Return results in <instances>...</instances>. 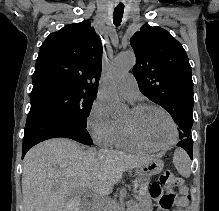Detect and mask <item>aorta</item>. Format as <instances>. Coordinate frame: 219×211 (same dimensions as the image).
Segmentation results:
<instances>
[{
	"label": "aorta",
	"mask_w": 219,
	"mask_h": 211,
	"mask_svg": "<svg viewBox=\"0 0 219 211\" xmlns=\"http://www.w3.org/2000/svg\"><path fill=\"white\" fill-rule=\"evenodd\" d=\"M135 64L133 52L118 55L108 72V83L101 90L100 96L105 103L107 112L113 118H119L126 113L128 107L122 103L116 91V81L124 76ZM105 211H116L115 205L110 204Z\"/></svg>",
	"instance_id": "762f6f07"
}]
</instances>
